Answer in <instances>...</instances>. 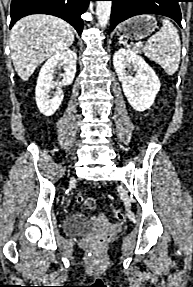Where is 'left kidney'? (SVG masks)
I'll use <instances>...</instances> for the list:
<instances>
[{"label":"left kidney","instance_id":"5707ae66","mask_svg":"<svg viewBox=\"0 0 193 287\" xmlns=\"http://www.w3.org/2000/svg\"><path fill=\"white\" fill-rule=\"evenodd\" d=\"M113 65L129 104L137 111H145L154 103L160 81L154 70L134 51L121 48L113 56ZM137 71L133 77L128 66Z\"/></svg>","mask_w":193,"mask_h":287}]
</instances>
